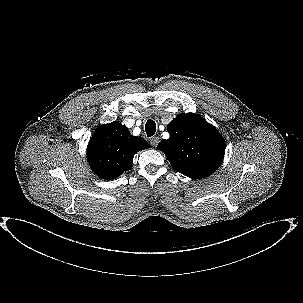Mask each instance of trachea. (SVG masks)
Returning <instances> with one entry per match:
<instances>
[{"label":"trachea","instance_id":"1","mask_svg":"<svg viewBox=\"0 0 303 303\" xmlns=\"http://www.w3.org/2000/svg\"><path fill=\"white\" fill-rule=\"evenodd\" d=\"M145 130L148 137H151L156 132V123L153 120H148L145 124Z\"/></svg>","mask_w":303,"mask_h":303}]
</instances>
